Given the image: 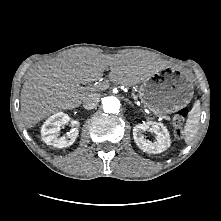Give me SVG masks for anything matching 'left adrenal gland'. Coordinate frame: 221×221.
Masks as SVG:
<instances>
[{
    "mask_svg": "<svg viewBox=\"0 0 221 221\" xmlns=\"http://www.w3.org/2000/svg\"><path fill=\"white\" fill-rule=\"evenodd\" d=\"M128 103H129L130 105H132V103H131L130 101H128Z\"/></svg>",
    "mask_w": 221,
    "mask_h": 221,
    "instance_id": "a2214340",
    "label": "left adrenal gland"
}]
</instances>
